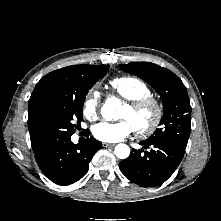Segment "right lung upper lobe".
I'll return each instance as SVG.
<instances>
[{"label":"right lung upper lobe","instance_id":"obj_1","mask_svg":"<svg viewBox=\"0 0 221 221\" xmlns=\"http://www.w3.org/2000/svg\"><path fill=\"white\" fill-rule=\"evenodd\" d=\"M105 65H73L62 69L55 70L45 75L36 84L34 91L29 99L28 109V128L30 132V139L33 151L39 149L36 146L33 121L39 109L48 101L54 99L63 90L71 87L76 82L85 77L101 71Z\"/></svg>","mask_w":221,"mask_h":221}]
</instances>
